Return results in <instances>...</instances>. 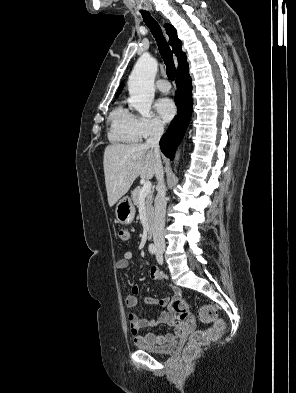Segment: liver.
Returning a JSON list of instances; mask_svg holds the SVG:
<instances>
[{
	"label": "liver",
	"instance_id": "obj_1",
	"mask_svg": "<svg viewBox=\"0 0 296 393\" xmlns=\"http://www.w3.org/2000/svg\"><path fill=\"white\" fill-rule=\"evenodd\" d=\"M156 154L143 143L108 145L103 166L109 206L124 196L135 179H151L155 174Z\"/></svg>",
	"mask_w": 296,
	"mask_h": 393
}]
</instances>
